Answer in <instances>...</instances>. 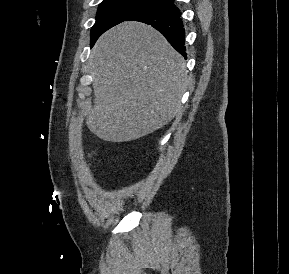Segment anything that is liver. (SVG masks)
Masks as SVG:
<instances>
[{"instance_id": "obj_1", "label": "liver", "mask_w": 289, "mask_h": 274, "mask_svg": "<svg viewBox=\"0 0 289 274\" xmlns=\"http://www.w3.org/2000/svg\"><path fill=\"white\" fill-rule=\"evenodd\" d=\"M94 106L86 124L98 138L128 142L180 115L188 81L185 61L154 28L123 22L94 45Z\"/></svg>"}]
</instances>
